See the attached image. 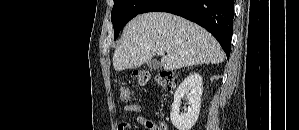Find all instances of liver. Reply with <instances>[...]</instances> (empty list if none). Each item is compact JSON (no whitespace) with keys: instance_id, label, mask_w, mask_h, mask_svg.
Segmentation results:
<instances>
[{"instance_id":"liver-1","label":"liver","mask_w":299,"mask_h":130,"mask_svg":"<svg viewBox=\"0 0 299 130\" xmlns=\"http://www.w3.org/2000/svg\"><path fill=\"white\" fill-rule=\"evenodd\" d=\"M164 50L160 65L177 70L198 64H219L225 59L217 40L204 28L182 17L150 12L137 15L124 28L113 54L116 71L134 69Z\"/></svg>"}]
</instances>
